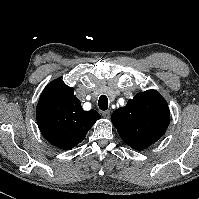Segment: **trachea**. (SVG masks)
Here are the masks:
<instances>
[{
	"instance_id": "1",
	"label": "trachea",
	"mask_w": 199,
	"mask_h": 199,
	"mask_svg": "<svg viewBox=\"0 0 199 199\" xmlns=\"http://www.w3.org/2000/svg\"><path fill=\"white\" fill-rule=\"evenodd\" d=\"M98 105H99V108L101 110H107L108 108V98L106 95H102L100 96L99 100H98Z\"/></svg>"
}]
</instances>
